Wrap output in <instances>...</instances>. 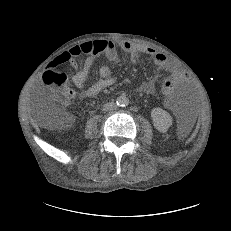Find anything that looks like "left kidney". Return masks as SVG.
<instances>
[{
	"label": "left kidney",
	"mask_w": 231,
	"mask_h": 231,
	"mask_svg": "<svg viewBox=\"0 0 231 231\" xmlns=\"http://www.w3.org/2000/svg\"><path fill=\"white\" fill-rule=\"evenodd\" d=\"M151 118L155 128L160 132H166L173 122L172 116L159 107L152 109Z\"/></svg>",
	"instance_id": "5707ae66"
}]
</instances>
